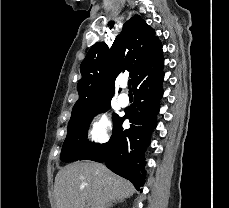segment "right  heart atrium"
I'll return each mask as SVG.
<instances>
[{
  "label": "right heart atrium",
  "mask_w": 229,
  "mask_h": 208,
  "mask_svg": "<svg viewBox=\"0 0 229 208\" xmlns=\"http://www.w3.org/2000/svg\"><path fill=\"white\" fill-rule=\"evenodd\" d=\"M111 130V121L107 113L98 112L89 121L87 138L93 143L104 144L110 140Z\"/></svg>",
  "instance_id": "d8ad5b80"
}]
</instances>
